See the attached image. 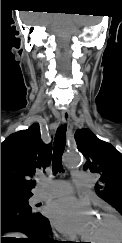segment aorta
<instances>
[{
  "mask_svg": "<svg viewBox=\"0 0 122 243\" xmlns=\"http://www.w3.org/2000/svg\"><path fill=\"white\" fill-rule=\"evenodd\" d=\"M64 161L68 168H76L80 166L82 157L78 151H69L66 153Z\"/></svg>",
  "mask_w": 122,
  "mask_h": 243,
  "instance_id": "1",
  "label": "aorta"
}]
</instances>
